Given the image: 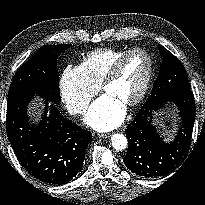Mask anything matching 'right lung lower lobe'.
<instances>
[{"label": "right lung lower lobe", "instance_id": "obj_1", "mask_svg": "<svg viewBox=\"0 0 205 205\" xmlns=\"http://www.w3.org/2000/svg\"><path fill=\"white\" fill-rule=\"evenodd\" d=\"M32 97L27 93L8 96V139L30 175L44 183L65 184L81 171L92 135L67 121L47 100L42 120L37 125L30 124L26 107Z\"/></svg>", "mask_w": 205, "mask_h": 205}]
</instances>
